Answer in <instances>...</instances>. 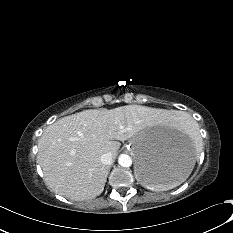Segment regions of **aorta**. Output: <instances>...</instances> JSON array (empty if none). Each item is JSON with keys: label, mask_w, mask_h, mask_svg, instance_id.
<instances>
[{"label": "aorta", "mask_w": 233, "mask_h": 233, "mask_svg": "<svg viewBox=\"0 0 233 233\" xmlns=\"http://www.w3.org/2000/svg\"><path fill=\"white\" fill-rule=\"evenodd\" d=\"M118 163L122 167H130L132 165V159L127 154H121L118 158Z\"/></svg>", "instance_id": "aorta-1"}]
</instances>
